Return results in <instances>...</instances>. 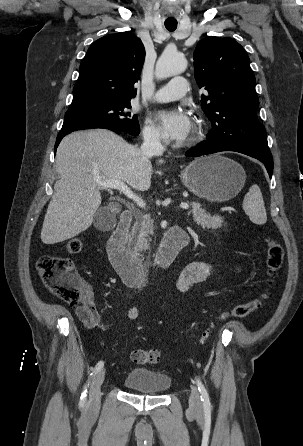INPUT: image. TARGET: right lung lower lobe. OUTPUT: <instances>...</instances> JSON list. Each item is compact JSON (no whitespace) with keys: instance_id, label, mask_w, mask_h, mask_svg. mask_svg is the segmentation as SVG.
<instances>
[{"instance_id":"right-lung-lower-lobe-1","label":"right lung lower lobe","mask_w":303,"mask_h":446,"mask_svg":"<svg viewBox=\"0 0 303 446\" xmlns=\"http://www.w3.org/2000/svg\"><path fill=\"white\" fill-rule=\"evenodd\" d=\"M92 128H104V129H109V130H112V131H114V132H116V133H118V134H120V133H125V132H123L120 128H118L117 126H114V125L109 124V123H103V122L94 121V122H86V123L78 124V125H76V126H74V127H71V128H69V129H67V130L60 131V133L58 134L57 139H56V143H55V151H56V148L58 147V145H59L61 139H62L65 135H67V134H69V133H71V132H73V131H76V130H81V129H92Z\"/></svg>"}]
</instances>
